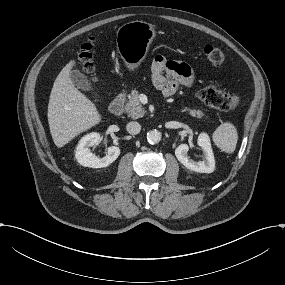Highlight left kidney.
Wrapping results in <instances>:
<instances>
[{
    "mask_svg": "<svg viewBox=\"0 0 285 285\" xmlns=\"http://www.w3.org/2000/svg\"><path fill=\"white\" fill-rule=\"evenodd\" d=\"M197 144L203 150V161L196 162L188 158V144H181L175 149V156L187 169L197 173L210 174L214 171V157L210 147L209 138L206 134L198 137Z\"/></svg>",
    "mask_w": 285,
    "mask_h": 285,
    "instance_id": "5707ae66",
    "label": "left kidney"
}]
</instances>
